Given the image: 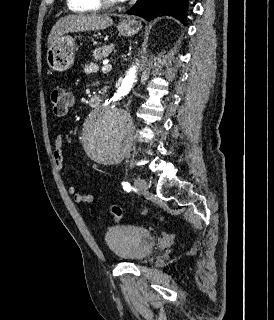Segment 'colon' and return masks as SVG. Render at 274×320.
I'll return each instance as SVG.
<instances>
[{
    "mask_svg": "<svg viewBox=\"0 0 274 320\" xmlns=\"http://www.w3.org/2000/svg\"><path fill=\"white\" fill-rule=\"evenodd\" d=\"M49 98L53 106V112L57 116L65 115L72 104L70 92H67L65 88L60 86L51 89ZM109 211L112 213L115 221H119L124 214L123 209L116 205H111Z\"/></svg>",
    "mask_w": 274,
    "mask_h": 320,
    "instance_id": "5ec220e1",
    "label": "colon"
}]
</instances>
